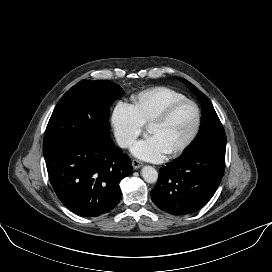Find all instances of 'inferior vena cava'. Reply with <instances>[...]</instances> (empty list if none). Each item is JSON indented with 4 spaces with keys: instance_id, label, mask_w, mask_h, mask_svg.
<instances>
[{
    "instance_id": "1",
    "label": "inferior vena cava",
    "mask_w": 272,
    "mask_h": 272,
    "mask_svg": "<svg viewBox=\"0 0 272 272\" xmlns=\"http://www.w3.org/2000/svg\"><path fill=\"white\" fill-rule=\"evenodd\" d=\"M117 143H118V145L120 146V147H127L130 143H129V141H127V140H124V139H118L117 140Z\"/></svg>"
}]
</instances>
